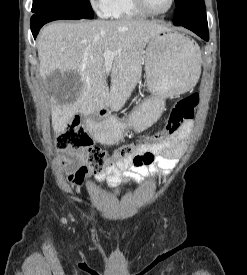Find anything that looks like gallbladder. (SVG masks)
<instances>
[{
  "instance_id": "gallbladder-1",
  "label": "gallbladder",
  "mask_w": 247,
  "mask_h": 275,
  "mask_svg": "<svg viewBox=\"0 0 247 275\" xmlns=\"http://www.w3.org/2000/svg\"><path fill=\"white\" fill-rule=\"evenodd\" d=\"M46 85L56 100L64 102L70 94L79 90L81 83L76 72L56 71L47 77Z\"/></svg>"
}]
</instances>
